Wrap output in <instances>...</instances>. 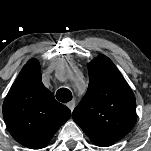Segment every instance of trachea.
Returning a JSON list of instances; mask_svg holds the SVG:
<instances>
[{
  "label": "trachea",
  "instance_id": "trachea-1",
  "mask_svg": "<svg viewBox=\"0 0 151 151\" xmlns=\"http://www.w3.org/2000/svg\"><path fill=\"white\" fill-rule=\"evenodd\" d=\"M56 98H57L58 101L66 103V102H69L72 99V93L67 88H60L56 92Z\"/></svg>",
  "mask_w": 151,
  "mask_h": 151
}]
</instances>
